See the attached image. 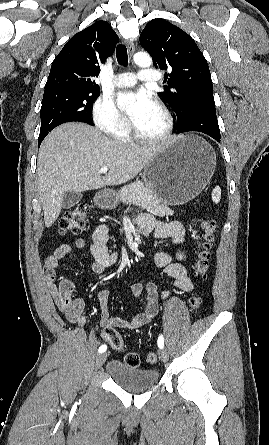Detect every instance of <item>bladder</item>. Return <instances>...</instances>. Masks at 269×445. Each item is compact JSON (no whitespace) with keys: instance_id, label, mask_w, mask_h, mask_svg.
Returning a JSON list of instances; mask_svg holds the SVG:
<instances>
[{"instance_id":"1","label":"bladder","mask_w":269,"mask_h":445,"mask_svg":"<svg viewBox=\"0 0 269 445\" xmlns=\"http://www.w3.org/2000/svg\"><path fill=\"white\" fill-rule=\"evenodd\" d=\"M107 372L117 385L130 391L150 389L159 381L158 370L138 369L124 365L118 360L108 363Z\"/></svg>"}]
</instances>
